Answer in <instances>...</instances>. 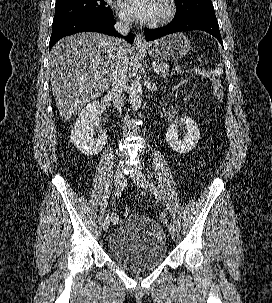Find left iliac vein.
Wrapping results in <instances>:
<instances>
[{
  "label": "left iliac vein",
  "instance_id": "1",
  "mask_svg": "<svg viewBox=\"0 0 272 303\" xmlns=\"http://www.w3.org/2000/svg\"><path fill=\"white\" fill-rule=\"evenodd\" d=\"M130 177L137 186H139L143 189H146L148 187V181H147L145 175L141 171H139V170L135 171L134 173H132L130 175ZM169 232H170L172 238H175V235H176L175 229L169 228Z\"/></svg>",
  "mask_w": 272,
  "mask_h": 303
}]
</instances>
